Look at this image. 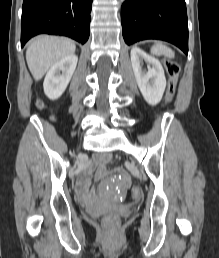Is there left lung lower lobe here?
Segmentation results:
<instances>
[{
    "mask_svg": "<svg viewBox=\"0 0 219 258\" xmlns=\"http://www.w3.org/2000/svg\"><path fill=\"white\" fill-rule=\"evenodd\" d=\"M121 23L128 45L146 39L173 43L188 54V20L185 0H127Z\"/></svg>",
    "mask_w": 219,
    "mask_h": 258,
    "instance_id": "0a47b994",
    "label": "left lung lower lobe"
}]
</instances>
